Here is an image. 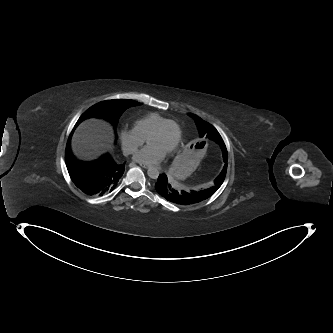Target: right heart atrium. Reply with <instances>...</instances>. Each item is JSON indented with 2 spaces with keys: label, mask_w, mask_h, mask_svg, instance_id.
Listing matches in <instances>:
<instances>
[{
  "label": "right heart atrium",
  "mask_w": 333,
  "mask_h": 333,
  "mask_svg": "<svg viewBox=\"0 0 333 333\" xmlns=\"http://www.w3.org/2000/svg\"><path fill=\"white\" fill-rule=\"evenodd\" d=\"M120 140L123 150L127 154H134L145 142V138H143L134 128H123L120 132Z\"/></svg>",
  "instance_id": "d8ad5b80"
}]
</instances>
